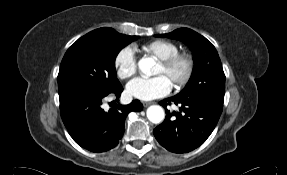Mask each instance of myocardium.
I'll list each match as a JSON object with an SVG mask.
<instances>
[{
  "instance_id": "1",
  "label": "myocardium",
  "mask_w": 287,
  "mask_h": 175,
  "mask_svg": "<svg viewBox=\"0 0 287 175\" xmlns=\"http://www.w3.org/2000/svg\"><path fill=\"white\" fill-rule=\"evenodd\" d=\"M165 71L173 74V86L175 88H181L185 86L191 79L194 69L195 61L190 53L178 52L167 58L160 59L159 62ZM181 66L182 71L175 73L177 67Z\"/></svg>"
}]
</instances>
